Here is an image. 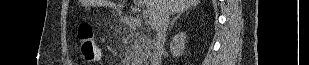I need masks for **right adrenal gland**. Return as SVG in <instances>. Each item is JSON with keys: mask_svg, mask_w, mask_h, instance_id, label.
I'll return each mask as SVG.
<instances>
[{"mask_svg": "<svg viewBox=\"0 0 309 65\" xmlns=\"http://www.w3.org/2000/svg\"><path fill=\"white\" fill-rule=\"evenodd\" d=\"M181 15H182V13H179V14L176 15V17H174L173 21H172V22L170 23V25H169V28H168L169 31H171V29H172L173 26H174V23L177 21V19L180 18Z\"/></svg>", "mask_w": 309, "mask_h": 65, "instance_id": "obj_1", "label": "right adrenal gland"}]
</instances>
